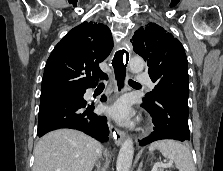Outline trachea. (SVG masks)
<instances>
[{"label":"trachea","mask_w":223,"mask_h":171,"mask_svg":"<svg viewBox=\"0 0 223 171\" xmlns=\"http://www.w3.org/2000/svg\"><path fill=\"white\" fill-rule=\"evenodd\" d=\"M129 84H138V83L133 80H129Z\"/></svg>","instance_id":"obj_1"}]
</instances>
